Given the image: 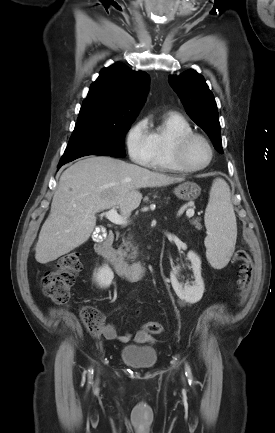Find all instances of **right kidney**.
I'll return each mask as SVG.
<instances>
[{"label": "right kidney", "instance_id": "right-kidney-1", "mask_svg": "<svg viewBox=\"0 0 275 433\" xmlns=\"http://www.w3.org/2000/svg\"><path fill=\"white\" fill-rule=\"evenodd\" d=\"M96 282L101 287H108L111 285L114 278L113 271L108 266L99 268L97 272L94 273Z\"/></svg>", "mask_w": 275, "mask_h": 433}]
</instances>
